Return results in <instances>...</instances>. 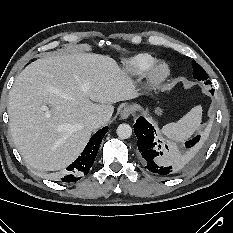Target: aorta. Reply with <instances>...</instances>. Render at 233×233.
<instances>
[{
	"label": "aorta",
	"mask_w": 233,
	"mask_h": 233,
	"mask_svg": "<svg viewBox=\"0 0 233 233\" xmlns=\"http://www.w3.org/2000/svg\"><path fill=\"white\" fill-rule=\"evenodd\" d=\"M117 135L120 139H128L132 135V128L128 124H120L117 127Z\"/></svg>",
	"instance_id": "762f6f07"
}]
</instances>
